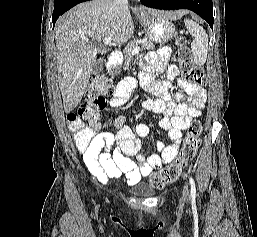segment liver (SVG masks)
I'll return each instance as SVG.
<instances>
[{
    "label": "liver",
    "instance_id": "6515ba94",
    "mask_svg": "<svg viewBox=\"0 0 257 237\" xmlns=\"http://www.w3.org/2000/svg\"><path fill=\"white\" fill-rule=\"evenodd\" d=\"M168 19L177 20L178 12H160ZM134 33V24L128 6L116 0H93L81 3L60 17L55 26L58 82L64 111L71 112L87 90L92 69L100 48L92 42L111 38L118 44L127 42Z\"/></svg>",
    "mask_w": 257,
    "mask_h": 237
}]
</instances>
